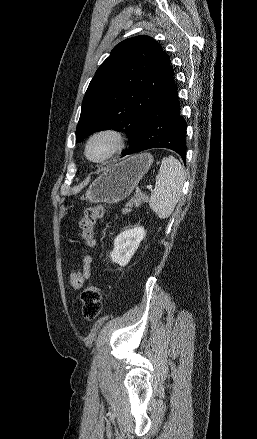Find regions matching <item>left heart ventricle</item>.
Here are the masks:
<instances>
[{
  "label": "left heart ventricle",
  "mask_w": 257,
  "mask_h": 439,
  "mask_svg": "<svg viewBox=\"0 0 257 439\" xmlns=\"http://www.w3.org/2000/svg\"><path fill=\"white\" fill-rule=\"evenodd\" d=\"M112 146L113 143L111 139L107 137L99 138L91 144L89 148V154L92 158L99 159L106 155L110 151Z\"/></svg>",
  "instance_id": "b2bd125f"
}]
</instances>
